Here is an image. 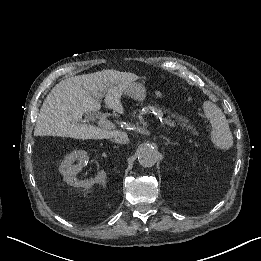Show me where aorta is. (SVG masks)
<instances>
[{"instance_id": "1", "label": "aorta", "mask_w": 261, "mask_h": 261, "mask_svg": "<svg viewBox=\"0 0 261 261\" xmlns=\"http://www.w3.org/2000/svg\"><path fill=\"white\" fill-rule=\"evenodd\" d=\"M157 154L155 149L148 145L138 149V161L143 167H152L155 165Z\"/></svg>"}]
</instances>
